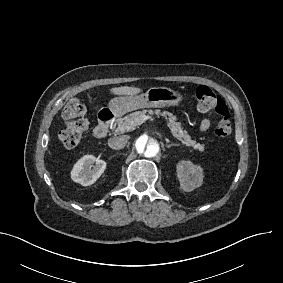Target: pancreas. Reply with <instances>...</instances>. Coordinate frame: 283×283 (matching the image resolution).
<instances>
[{
    "label": "pancreas",
    "mask_w": 283,
    "mask_h": 283,
    "mask_svg": "<svg viewBox=\"0 0 283 283\" xmlns=\"http://www.w3.org/2000/svg\"><path fill=\"white\" fill-rule=\"evenodd\" d=\"M149 114H156L164 116L167 120V126L170 128L173 136L181 141L186 146H191L194 149H198L199 151H204V144H199L195 140L191 139V136L187 133L186 130H183V127L180 122H176V116L168 111L161 112L159 109L155 111L149 110ZM146 111H136L133 112L123 118L116 119V123L118 127L116 129L117 133H124L126 131H132L135 126L142 124L143 118L145 116Z\"/></svg>",
    "instance_id": "cf45deb5"
}]
</instances>
